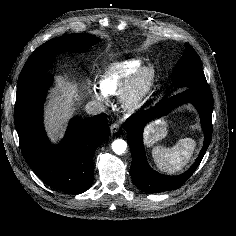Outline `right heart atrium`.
I'll list each match as a JSON object with an SVG mask.
<instances>
[{
	"mask_svg": "<svg viewBox=\"0 0 236 236\" xmlns=\"http://www.w3.org/2000/svg\"><path fill=\"white\" fill-rule=\"evenodd\" d=\"M92 96L102 102H106L108 97L107 95L102 91L101 88L93 87L91 90Z\"/></svg>",
	"mask_w": 236,
	"mask_h": 236,
	"instance_id": "1",
	"label": "right heart atrium"
}]
</instances>
